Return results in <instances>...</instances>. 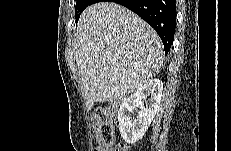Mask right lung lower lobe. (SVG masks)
<instances>
[{"instance_id":"98d812e1","label":"right lung lower lobe","mask_w":231,"mask_h":151,"mask_svg":"<svg viewBox=\"0 0 231 151\" xmlns=\"http://www.w3.org/2000/svg\"><path fill=\"white\" fill-rule=\"evenodd\" d=\"M135 12L150 24L160 36L165 53L170 50L176 28L175 0H110ZM100 2L93 0V4Z\"/></svg>"}]
</instances>
